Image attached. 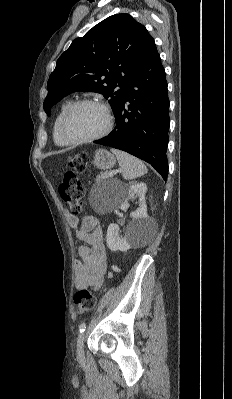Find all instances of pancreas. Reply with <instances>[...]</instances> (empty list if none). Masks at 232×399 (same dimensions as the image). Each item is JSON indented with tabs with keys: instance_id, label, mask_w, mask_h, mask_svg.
<instances>
[{
	"instance_id": "pancreas-1",
	"label": "pancreas",
	"mask_w": 232,
	"mask_h": 399,
	"mask_svg": "<svg viewBox=\"0 0 232 399\" xmlns=\"http://www.w3.org/2000/svg\"><path fill=\"white\" fill-rule=\"evenodd\" d=\"M106 178H112V176H109L108 172H100L97 176V180H106Z\"/></svg>"
}]
</instances>
